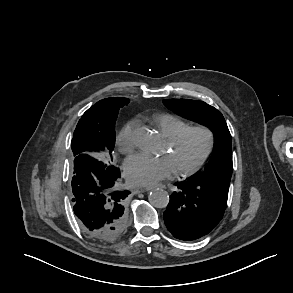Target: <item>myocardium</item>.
Segmentation results:
<instances>
[{
    "mask_svg": "<svg viewBox=\"0 0 293 293\" xmlns=\"http://www.w3.org/2000/svg\"><path fill=\"white\" fill-rule=\"evenodd\" d=\"M200 132L204 135V146L198 156V158L190 166L177 170V174L180 176H189L197 172L209 157L213 145H214V134L212 130L205 125H192L188 126L175 136L167 139V145L169 148H176L190 133Z\"/></svg>",
    "mask_w": 293,
    "mask_h": 293,
    "instance_id": "myocardium-1",
    "label": "myocardium"
}]
</instances>
